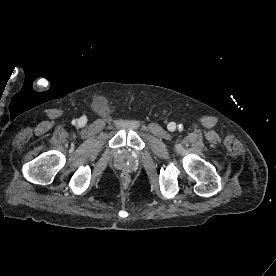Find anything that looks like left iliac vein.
<instances>
[{
	"instance_id": "4c4485c4",
	"label": "left iliac vein",
	"mask_w": 276,
	"mask_h": 276,
	"mask_svg": "<svg viewBox=\"0 0 276 276\" xmlns=\"http://www.w3.org/2000/svg\"><path fill=\"white\" fill-rule=\"evenodd\" d=\"M168 126H169V130H170V131H174V130L176 129V124L173 123V122L169 123Z\"/></svg>"
}]
</instances>
